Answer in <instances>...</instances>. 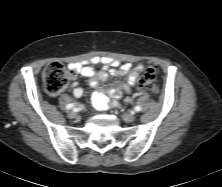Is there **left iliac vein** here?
<instances>
[{
    "instance_id": "left-iliac-vein-1",
    "label": "left iliac vein",
    "mask_w": 222,
    "mask_h": 187,
    "mask_svg": "<svg viewBox=\"0 0 222 187\" xmlns=\"http://www.w3.org/2000/svg\"><path fill=\"white\" fill-rule=\"evenodd\" d=\"M122 118L125 122H133L135 120V115L133 114H129V113H125L122 115Z\"/></svg>"
}]
</instances>
